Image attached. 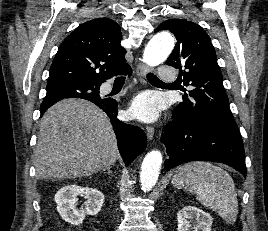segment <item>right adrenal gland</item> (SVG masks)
<instances>
[{
    "label": "right adrenal gland",
    "mask_w": 268,
    "mask_h": 231,
    "mask_svg": "<svg viewBox=\"0 0 268 231\" xmlns=\"http://www.w3.org/2000/svg\"><path fill=\"white\" fill-rule=\"evenodd\" d=\"M111 167L112 166L110 165V166L106 167L105 169H103L102 171H106L107 170L108 174H111L112 173Z\"/></svg>",
    "instance_id": "1"
}]
</instances>
